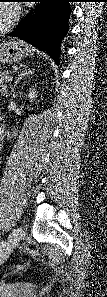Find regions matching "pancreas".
I'll return each instance as SVG.
<instances>
[{
  "mask_svg": "<svg viewBox=\"0 0 107 297\" xmlns=\"http://www.w3.org/2000/svg\"><path fill=\"white\" fill-rule=\"evenodd\" d=\"M9 76L8 71L0 72V87L1 89L6 88V83H8L7 77Z\"/></svg>",
  "mask_w": 107,
  "mask_h": 297,
  "instance_id": "obj_1",
  "label": "pancreas"
}]
</instances>
